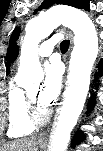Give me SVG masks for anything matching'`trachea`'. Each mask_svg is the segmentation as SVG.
Instances as JSON below:
<instances>
[{"label": "trachea", "instance_id": "obj_1", "mask_svg": "<svg viewBox=\"0 0 103 151\" xmlns=\"http://www.w3.org/2000/svg\"><path fill=\"white\" fill-rule=\"evenodd\" d=\"M69 43H70L69 40H64V41L61 42L60 49H61L62 52L67 51V49L69 47Z\"/></svg>", "mask_w": 103, "mask_h": 151}]
</instances>
